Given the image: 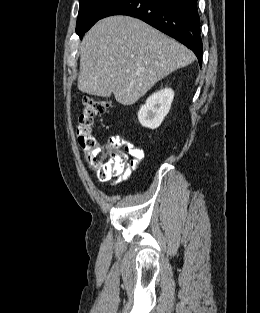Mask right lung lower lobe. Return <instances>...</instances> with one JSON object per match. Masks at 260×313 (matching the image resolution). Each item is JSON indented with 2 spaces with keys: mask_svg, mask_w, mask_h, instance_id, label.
I'll list each match as a JSON object with an SVG mask.
<instances>
[{
  "mask_svg": "<svg viewBox=\"0 0 260 313\" xmlns=\"http://www.w3.org/2000/svg\"><path fill=\"white\" fill-rule=\"evenodd\" d=\"M112 15L145 21L190 48L201 65L203 49L197 0H118L102 18Z\"/></svg>",
  "mask_w": 260,
  "mask_h": 313,
  "instance_id": "1",
  "label": "right lung lower lobe"
}]
</instances>
